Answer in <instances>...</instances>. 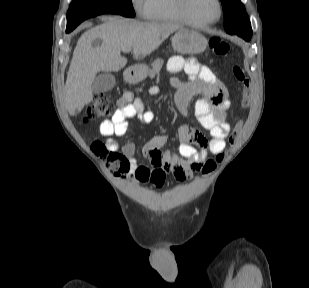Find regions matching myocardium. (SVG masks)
<instances>
[{
	"label": "myocardium",
	"mask_w": 309,
	"mask_h": 288,
	"mask_svg": "<svg viewBox=\"0 0 309 288\" xmlns=\"http://www.w3.org/2000/svg\"><path fill=\"white\" fill-rule=\"evenodd\" d=\"M176 2H177L178 11L180 15L182 16V18L185 20V22L196 28H204L207 26L214 25L218 23L223 16L224 10H223V4L221 0H216L217 5H218L217 17L213 20L205 21V22L197 21L190 15L188 11V0H176Z\"/></svg>",
	"instance_id": "1"
}]
</instances>
